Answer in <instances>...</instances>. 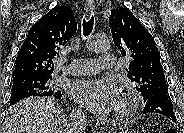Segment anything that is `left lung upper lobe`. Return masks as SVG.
Here are the masks:
<instances>
[{"mask_svg":"<svg viewBox=\"0 0 184 133\" xmlns=\"http://www.w3.org/2000/svg\"><path fill=\"white\" fill-rule=\"evenodd\" d=\"M109 27L114 44L122 55L132 58L129 68H126L127 76L143 96L144 102L151 97L160 101L157 95L168 94V87L160 54L151 34L127 8L111 11Z\"/></svg>","mask_w":184,"mask_h":133,"instance_id":"left-lung-upper-lobe-1","label":"left lung upper lobe"}]
</instances>
